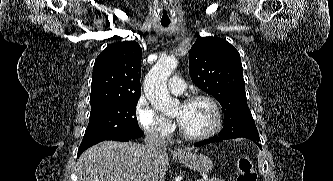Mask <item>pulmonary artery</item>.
I'll return each instance as SVG.
<instances>
[{
    "instance_id": "pulmonary-artery-1",
    "label": "pulmonary artery",
    "mask_w": 333,
    "mask_h": 181,
    "mask_svg": "<svg viewBox=\"0 0 333 181\" xmlns=\"http://www.w3.org/2000/svg\"><path fill=\"white\" fill-rule=\"evenodd\" d=\"M169 90L172 94L180 95L185 90V84L182 78L172 77L169 81Z\"/></svg>"
}]
</instances>
